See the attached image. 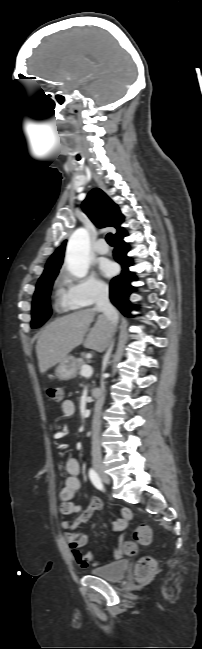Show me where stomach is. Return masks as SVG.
I'll return each instance as SVG.
<instances>
[{
  "mask_svg": "<svg viewBox=\"0 0 202 649\" xmlns=\"http://www.w3.org/2000/svg\"><path fill=\"white\" fill-rule=\"evenodd\" d=\"M78 369V360L69 355L56 367L55 374L61 380H69L77 375Z\"/></svg>",
  "mask_w": 202,
  "mask_h": 649,
  "instance_id": "0dacf381",
  "label": "stomach"
}]
</instances>
